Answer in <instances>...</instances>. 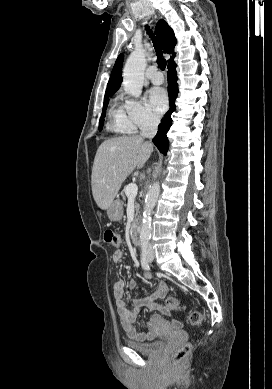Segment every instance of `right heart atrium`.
Masks as SVG:
<instances>
[{
    "label": "right heart atrium",
    "mask_w": 272,
    "mask_h": 389,
    "mask_svg": "<svg viewBox=\"0 0 272 389\" xmlns=\"http://www.w3.org/2000/svg\"><path fill=\"white\" fill-rule=\"evenodd\" d=\"M124 108L135 130L150 129L158 124L157 116L140 100L126 98Z\"/></svg>",
    "instance_id": "right-heart-atrium-1"
}]
</instances>
